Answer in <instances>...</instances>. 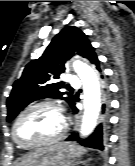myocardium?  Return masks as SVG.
<instances>
[{"label":"myocardium","mask_w":135,"mask_h":166,"mask_svg":"<svg viewBox=\"0 0 135 166\" xmlns=\"http://www.w3.org/2000/svg\"><path fill=\"white\" fill-rule=\"evenodd\" d=\"M40 107H50L53 108L55 110H57L60 113L61 119H62V127L60 132L57 134V136H55L52 139L49 140H45L42 142H38V143H33V144H25L22 143L18 138H17V133H16V129H17V125L19 123V121L21 120V118L29 111L36 109V108H40ZM67 117L65 115V110L63 108V106L55 101H41V102H37L35 104H32L28 107H26L23 111H21V113L17 116V118L15 119L14 123H13V127H12V139L13 141L21 148H25V149H36V148H40V147H44V146H50V145H54L56 143H58L59 141H61L63 139V137L66 134L67 131Z\"/></svg>","instance_id":"myocardium-1"}]
</instances>
